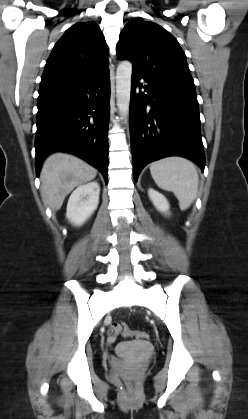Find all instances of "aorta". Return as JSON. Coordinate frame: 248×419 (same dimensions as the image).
Segmentation results:
<instances>
[{"label":"aorta","instance_id":"762f6f07","mask_svg":"<svg viewBox=\"0 0 248 419\" xmlns=\"http://www.w3.org/2000/svg\"><path fill=\"white\" fill-rule=\"evenodd\" d=\"M131 76L132 63L130 61L119 63L116 71V100L121 119H125L129 114Z\"/></svg>","mask_w":248,"mask_h":419}]
</instances>
